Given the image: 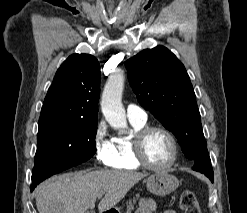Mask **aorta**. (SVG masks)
<instances>
[{"instance_id": "obj_1", "label": "aorta", "mask_w": 247, "mask_h": 213, "mask_svg": "<svg viewBox=\"0 0 247 213\" xmlns=\"http://www.w3.org/2000/svg\"><path fill=\"white\" fill-rule=\"evenodd\" d=\"M124 73L118 70L109 76L101 97V110L111 127L124 131L127 129L125 110L122 105Z\"/></svg>"}]
</instances>
